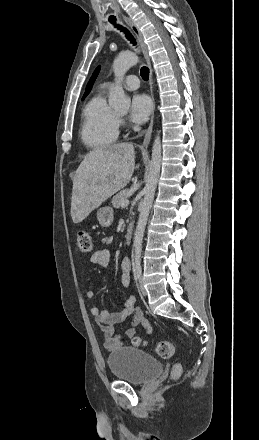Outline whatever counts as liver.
I'll list each match as a JSON object with an SVG mask.
<instances>
[{
  "label": "liver",
  "mask_w": 259,
  "mask_h": 440,
  "mask_svg": "<svg viewBox=\"0 0 259 440\" xmlns=\"http://www.w3.org/2000/svg\"><path fill=\"white\" fill-rule=\"evenodd\" d=\"M134 169L135 151L131 143H119L90 151L73 178V222H82L95 208L124 188Z\"/></svg>",
  "instance_id": "obj_1"
}]
</instances>
